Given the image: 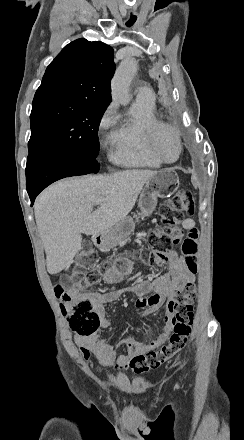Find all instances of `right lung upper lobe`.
Segmentation results:
<instances>
[{
    "instance_id": "right-lung-upper-lobe-1",
    "label": "right lung upper lobe",
    "mask_w": 244,
    "mask_h": 440,
    "mask_svg": "<svg viewBox=\"0 0 244 440\" xmlns=\"http://www.w3.org/2000/svg\"><path fill=\"white\" fill-rule=\"evenodd\" d=\"M113 48L99 41L77 39L66 45L47 67L33 101L111 102L115 71Z\"/></svg>"
}]
</instances>
